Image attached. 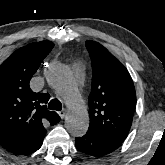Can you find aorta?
<instances>
[{
	"instance_id": "aorta-1",
	"label": "aorta",
	"mask_w": 165,
	"mask_h": 165,
	"mask_svg": "<svg viewBox=\"0 0 165 165\" xmlns=\"http://www.w3.org/2000/svg\"><path fill=\"white\" fill-rule=\"evenodd\" d=\"M45 77L48 83L64 97L69 111L65 119L66 129L73 136H83L89 126L88 111L81 96L70 84L66 68L61 64H52L46 69Z\"/></svg>"
}]
</instances>
